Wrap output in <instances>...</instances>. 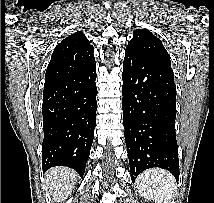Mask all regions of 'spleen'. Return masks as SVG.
<instances>
[{"label": "spleen", "instance_id": "1", "mask_svg": "<svg viewBox=\"0 0 214 203\" xmlns=\"http://www.w3.org/2000/svg\"><path fill=\"white\" fill-rule=\"evenodd\" d=\"M139 194L155 203H170L176 188L174 177L163 169L146 170L136 180Z\"/></svg>", "mask_w": 214, "mask_h": 203}]
</instances>
